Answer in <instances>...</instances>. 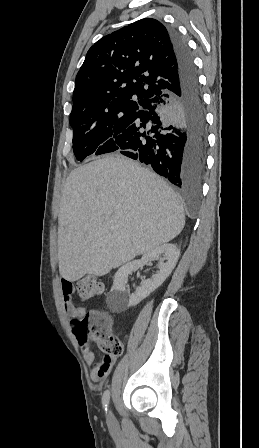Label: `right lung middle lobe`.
Masks as SVG:
<instances>
[{
  "mask_svg": "<svg viewBox=\"0 0 259 448\" xmlns=\"http://www.w3.org/2000/svg\"><path fill=\"white\" fill-rule=\"evenodd\" d=\"M142 105H131L103 112H80L70 115L73 128V151L77 160L88 155L112 152L117 137L140 114Z\"/></svg>",
  "mask_w": 259,
  "mask_h": 448,
  "instance_id": "right-lung-middle-lobe-1",
  "label": "right lung middle lobe"
}]
</instances>
